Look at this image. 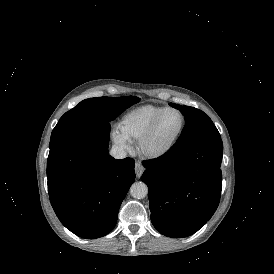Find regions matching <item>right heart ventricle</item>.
Listing matches in <instances>:
<instances>
[{
  "mask_svg": "<svg viewBox=\"0 0 274 274\" xmlns=\"http://www.w3.org/2000/svg\"><path fill=\"white\" fill-rule=\"evenodd\" d=\"M165 109V107L146 104L128 110L119 120L120 134L130 142L138 140L150 123Z\"/></svg>",
  "mask_w": 274,
  "mask_h": 274,
  "instance_id": "right-heart-ventricle-1",
  "label": "right heart ventricle"
}]
</instances>
